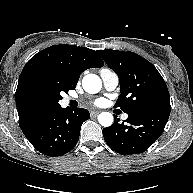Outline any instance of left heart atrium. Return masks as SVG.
Returning <instances> with one entry per match:
<instances>
[{
    "label": "left heart atrium",
    "instance_id": "1",
    "mask_svg": "<svg viewBox=\"0 0 193 193\" xmlns=\"http://www.w3.org/2000/svg\"><path fill=\"white\" fill-rule=\"evenodd\" d=\"M104 104V99H97L96 101H95V105H97V106H101V105H103Z\"/></svg>",
    "mask_w": 193,
    "mask_h": 193
}]
</instances>
